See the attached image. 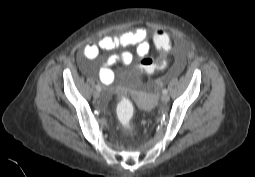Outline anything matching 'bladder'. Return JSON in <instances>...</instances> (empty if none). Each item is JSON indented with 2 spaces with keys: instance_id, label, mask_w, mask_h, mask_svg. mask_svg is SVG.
<instances>
[{
  "instance_id": "obj_1",
  "label": "bladder",
  "mask_w": 255,
  "mask_h": 177,
  "mask_svg": "<svg viewBox=\"0 0 255 177\" xmlns=\"http://www.w3.org/2000/svg\"><path fill=\"white\" fill-rule=\"evenodd\" d=\"M140 83L141 80L139 75H136L135 77L125 75L122 77V81L119 88L117 89V92L135 98V93L139 90Z\"/></svg>"
}]
</instances>
